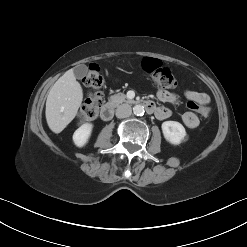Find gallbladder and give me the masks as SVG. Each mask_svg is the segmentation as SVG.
I'll return each mask as SVG.
<instances>
[{
	"mask_svg": "<svg viewBox=\"0 0 247 247\" xmlns=\"http://www.w3.org/2000/svg\"><path fill=\"white\" fill-rule=\"evenodd\" d=\"M75 77L81 78L88 72V68L85 65L76 66L73 70Z\"/></svg>",
	"mask_w": 247,
	"mask_h": 247,
	"instance_id": "obj_1",
	"label": "gallbladder"
}]
</instances>
